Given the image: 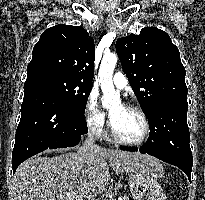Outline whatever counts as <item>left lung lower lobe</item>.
<instances>
[{
  "label": "left lung lower lobe",
  "mask_w": 205,
  "mask_h": 200,
  "mask_svg": "<svg viewBox=\"0 0 205 200\" xmlns=\"http://www.w3.org/2000/svg\"><path fill=\"white\" fill-rule=\"evenodd\" d=\"M187 110V95H176L163 100L155 111L161 122L158 119L151 122V133L144 146L121 149L139 151L175 165L186 173L191 182L193 158L189 145Z\"/></svg>",
  "instance_id": "0a47b994"
}]
</instances>
